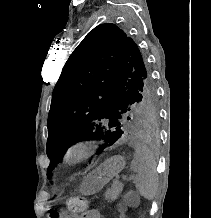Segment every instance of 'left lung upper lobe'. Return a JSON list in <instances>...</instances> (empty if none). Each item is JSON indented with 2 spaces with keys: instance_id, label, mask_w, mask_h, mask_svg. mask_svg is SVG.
<instances>
[{
  "instance_id": "1",
  "label": "left lung upper lobe",
  "mask_w": 211,
  "mask_h": 218,
  "mask_svg": "<svg viewBox=\"0 0 211 218\" xmlns=\"http://www.w3.org/2000/svg\"><path fill=\"white\" fill-rule=\"evenodd\" d=\"M157 115L151 74L136 43L114 24L95 27L70 55L53 90L48 176L73 143L101 138L113 144L129 123L149 127Z\"/></svg>"
}]
</instances>
